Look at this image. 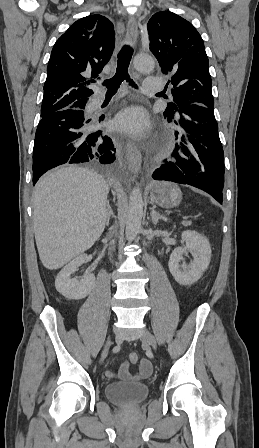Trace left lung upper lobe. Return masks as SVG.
I'll return each mask as SVG.
<instances>
[{
	"instance_id": "1",
	"label": "left lung upper lobe",
	"mask_w": 259,
	"mask_h": 448,
	"mask_svg": "<svg viewBox=\"0 0 259 448\" xmlns=\"http://www.w3.org/2000/svg\"><path fill=\"white\" fill-rule=\"evenodd\" d=\"M150 50L164 74H172L173 101L164 113L175 116L192 104L214 108L208 57L201 35L184 18L169 11L155 13L147 24Z\"/></svg>"
}]
</instances>
